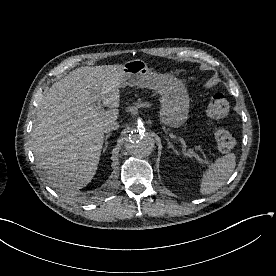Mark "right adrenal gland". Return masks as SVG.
Wrapping results in <instances>:
<instances>
[{"instance_id":"obj_1","label":"right adrenal gland","mask_w":276,"mask_h":276,"mask_svg":"<svg viewBox=\"0 0 276 276\" xmlns=\"http://www.w3.org/2000/svg\"><path fill=\"white\" fill-rule=\"evenodd\" d=\"M109 137H110V133L107 134L106 137H105V141H104L105 145H104V148H103V153H105V151H106V149L108 147V139H109Z\"/></svg>"}]
</instances>
